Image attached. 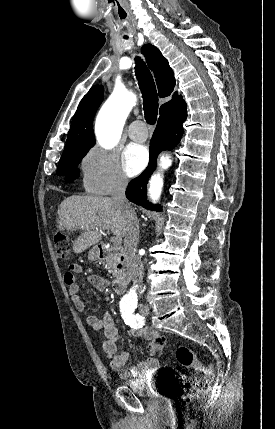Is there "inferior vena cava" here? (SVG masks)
Returning <instances> with one entry per match:
<instances>
[{
    "mask_svg": "<svg viewBox=\"0 0 275 429\" xmlns=\"http://www.w3.org/2000/svg\"><path fill=\"white\" fill-rule=\"evenodd\" d=\"M128 180L121 176L112 191V200L119 206L125 217L126 229L124 238V250L128 269L133 281L138 284V291H143L142 279L144 267L141 258L137 256V244L139 241V222L134 208L128 202L125 191Z\"/></svg>",
    "mask_w": 275,
    "mask_h": 429,
    "instance_id": "obj_1",
    "label": "inferior vena cava"
}]
</instances>
